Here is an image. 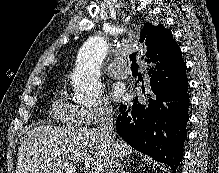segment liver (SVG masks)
Instances as JSON below:
<instances>
[{"mask_svg":"<svg viewBox=\"0 0 219 173\" xmlns=\"http://www.w3.org/2000/svg\"><path fill=\"white\" fill-rule=\"evenodd\" d=\"M113 149L118 161L132 150L119 137ZM113 149L96 129L38 126L20 140L16 173H75L78 162L87 173H105Z\"/></svg>","mask_w":219,"mask_h":173,"instance_id":"liver-1","label":"liver"}]
</instances>
